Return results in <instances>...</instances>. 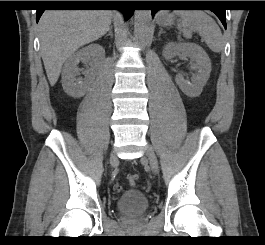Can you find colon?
<instances>
[{
    "instance_id": "obj_1",
    "label": "colon",
    "mask_w": 265,
    "mask_h": 245,
    "mask_svg": "<svg viewBox=\"0 0 265 245\" xmlns=\"http://www.w3.org/2000/svg\"><path fill=\"white\" fill-rule=\"evenodd\" d=\"M139 176L137 174H131L128 176V180L131 184H134L137 182Z\"/></svg>"
}]
</instances>
